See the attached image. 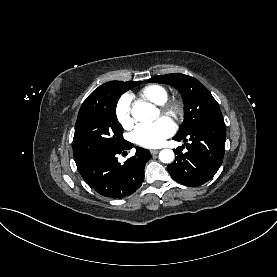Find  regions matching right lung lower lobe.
Here are the masks:
<instances>
[{
  "instance_id": "1",
  "label": "right lung lower lobe",
  "mask_w": 277,
  "mask_h": 277,
  "mask_svg": "<svg viewBox=\"0 0 277 277\" xmlns=\"http://www.w3.org/2000/svg\"><path fill=\"white\" fill-rule=\"evenodd\" d=\"M133 145L129 142L121 148L105 150L75 161L84 181L105 197L123 198L134 193L144 180V167L151 158L148 150L136 147V153L123 165L117 154Z\"/></svg>"
}]
</instances>
